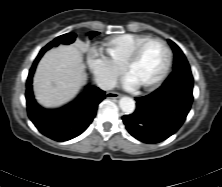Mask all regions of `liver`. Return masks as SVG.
Returning <instances> with one entry per match:
<instances>
[{
	"instance_id": "6515ba94",
	"label": "liver",
	"mask_w": 222,
	"mask_h": 187,
	"mask_svg": "<svg viewBox=\"0 0 222 187\" xmlns=\"http://www.w3.org/2000/svg\"><path fill=\"white\" fill-rule=\"evenodd\" d=\"M84 64L79 49L60 45L40 60L34 76V93L45 107H57L70 101L85 80Z\"/></svg>"
}]
</instances>
